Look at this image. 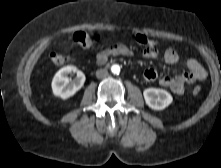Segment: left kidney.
<instances>
[{"mask_svg": "<svg viewBox=\"0 0 221 168\" xmlns=\"http://www.w3.org/2000/svg\"><path fill=\"white\" fill-rule=\"evenodd\" d=\"M143 95L146 104L153 110H163L173 101L171 94L164 89L147 88Z\"/></svg>", "mask_w": 221, "mask_h": 168, "instance_id": "1", "label": "left kidney"}]
</instances>
